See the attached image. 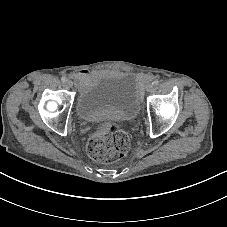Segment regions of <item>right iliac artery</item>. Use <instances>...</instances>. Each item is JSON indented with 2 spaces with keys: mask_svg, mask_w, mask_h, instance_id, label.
<instances>
[{
  "mask_svg": "<svg viewBox=\"0 0 227 227\" xmlns=\"http://www.w3.org/2000/svg\"><path fill=\"white\" fill-rule=\"evenodd\" d=\"M61 81H62V82H66V81H67L66 77L63 76V77L61 78Z\"/></svg>",
  "mask_w": 227,
  "mask_h": 227,
  "instance_id": "1",
  "label": "right iliac artery"
}]
</instances>
